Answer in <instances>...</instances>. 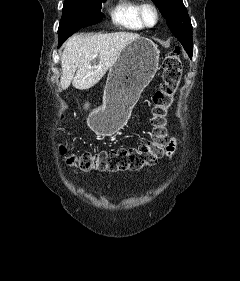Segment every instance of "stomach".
<instances>
[{
    "label": "stomach",
    "instance_id": "stomach-1",
    "mask_svg": "<svg viewBox=\"0 0 240 281\" xmlns=\"http://www.w3.org/2000/svg\"><path fill=\"white\" fill-rule=\"evenodd\" d=\"M158 64L159 51L150 39L139 37L130 41L109 70L103 104L90 112L88 126L101 136L116 133L154 78Z\"/></svg>",
    "mask_w": 240,
    "mask_h": 281
}]
</instances>
